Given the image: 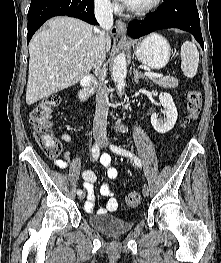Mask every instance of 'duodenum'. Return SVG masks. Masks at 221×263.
<instances>
[{
	"label": "duodenum",
	"mask_w": 221,
	"mask_h": 263,
	"mask_svg": "<svg viewBox=\"0 0 221 263\" xmlns=\"http://www.w3.org/2000/svg\"><path fill=\"white\" fill-rule=\"evenodd\" d=\"M92 84L93 79L91 77H86L81 82V89L79 91V100L82 104L86 105L92 95Z\"/></svg>",
	"instance_id": "1"
}]
</instances>
